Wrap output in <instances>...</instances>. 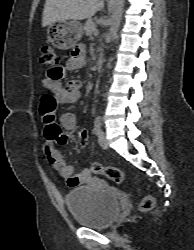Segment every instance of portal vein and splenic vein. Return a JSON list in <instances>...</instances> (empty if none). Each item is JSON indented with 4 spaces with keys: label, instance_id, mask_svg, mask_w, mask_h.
<instances>
[{
    "label": "portal vein and splenic vein",
    "instance_id": "portal-vein-and-splenic-vein-1",
    "mask_svg": "<svg viewBox=\"0 0 194 250\" xmlns=\"http://www.w3.org/2000/svg\"><path fill=\"white\" fill-rule=\"evenodd\" d=\"M94 34L97 35L98 34V30H95Z\"/></svg>",
    "mask_w": 194,
    "mask_h": 250
}]
</instances>
